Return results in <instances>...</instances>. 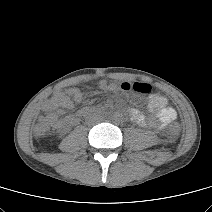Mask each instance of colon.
<instances>
[{"instance_id": "obj_1", "label": "colon", "mask_w": 212, "mask_h": 212, "mask_svg": "<svg viewBox=\"0 0 212 212\" xmlns=\"http://www.w3.org/2000/svg\"><path fill=\"white\" fill-rule=\"evenodd\" d=\"M95 88L99 92H103L105 94L108 93H142L148 94L151 92V86L146 83L136 82L134 80L129 79H99L95 83ZM50 130V122L44 121L36 124L34 127V133L36 136H44ZM179 132V127L177 125H173L169 131V137L171 139H175Z\"/></svg>"}]
</instances>
